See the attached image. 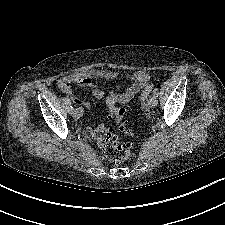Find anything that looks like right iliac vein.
<instances>
[{
    "mask_svg": "<svg viewBox=\"0 0 225 225\" xmlns=\"http://www.w3.org/2000/svg\"><path fill=\"white\" fill-rule=\"evenodd\" d=\"M71 114H72L73 118H75V119H78L81 115V113L78 109L72 110Z\"/></svg>",
    "mask_w": 225,
    "mask_h": 225,
    "instance_id": "1",
    "label": "right iliac vein"
}]
</instances>
